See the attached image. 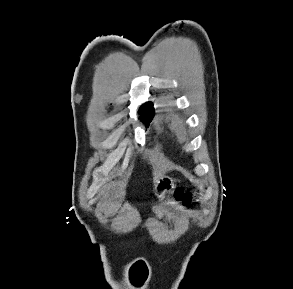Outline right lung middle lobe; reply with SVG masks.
Masks as SVG:
<instances>
[{"instance_id":"obj_1","label":"right lung middle lobe","mask_w":293,"mask_h":289,"mask_svg":"<svg viewBox=\"0 0 293 289\" xmlns=\"http://www.w3.org/2000/svg\"><path fill=\"white\" fill-rule=\"evenodd\" d=\"M140 113L142 114V119L148 125L153 118V113H147V110H141Z\"/></svg>"}]
</instances>
